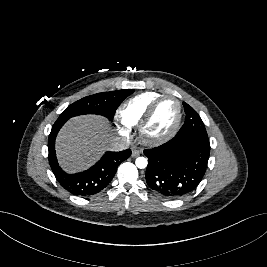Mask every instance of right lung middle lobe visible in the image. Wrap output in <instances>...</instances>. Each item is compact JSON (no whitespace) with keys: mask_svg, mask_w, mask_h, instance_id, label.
<instances>
[{"mask_svg":"<svg viewBox=\"0 0 267 267\" xmlns=\"http://www.w3.org/2000/svg\"><path fill=\"white\" fill-rule=\"evenodd\" d=\"M133 92V89H122L84 97L68 106L55 123H65L69 118L83 114H99L112 120L118 106Z\"/></svg>","mask_w":267,"mask_h":267,"instance_id":"1","label":"right lung middle lobe"}]
</instances>
